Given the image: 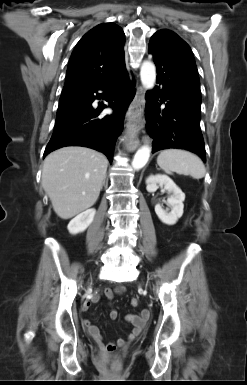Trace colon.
Here are the masks:
<instances>
[{"label":"colon","mask_w":247,"mask_h":385,"mask_svg":"<svg viewBox=\"0 0 247 385\" xmlns=\"http://www.w3.org/2000/svg\"><path fill=\"white\" fill-rule=\"evenodd\" d=\"M131 305H132L133 307H136V306L139 305V301H138L137 299H132ZM114 349H115V346H113V345H108V347H107V350H108V351H113Z\"/></svg>","instance_id":"colon-1"}]
</instances>
